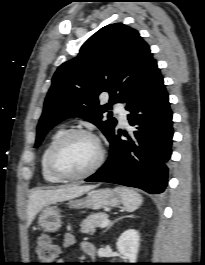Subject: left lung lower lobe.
Listing matches in <instances>:
<instances>
[{"mask_svg":"<svg viewBox=\"0 0 205 265\" xmlns=\"http://www.w3.org/2000/svg\"><path fill=\"white\" fill-rule=\"evenodd\" d=\"M126 103L133 131L128 134L115 130L109 139L107 162L85 181L115 183L161 194L168 182L173 130L168 94L157 63ZM121 134L128 140H121Z\"/></svg>","mask_w":205,"mask_h":265,"instance_id":"obj_1","label":"left lung lower lobe"}]
</instances>
